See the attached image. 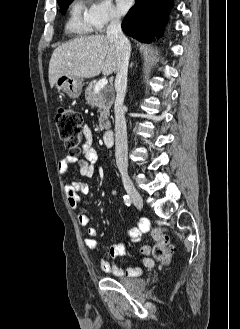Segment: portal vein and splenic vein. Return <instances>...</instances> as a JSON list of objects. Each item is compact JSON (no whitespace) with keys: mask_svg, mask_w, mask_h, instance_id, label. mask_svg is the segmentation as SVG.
Listing matches in <instances>:
<instances>
[{"mask_svg":"<svg viewBox=\"0 0 240 329\" xmlns=\"http://www.w3.org/2000/svg\"><path fill=\"white\" fill-rule=\"evenodd\" d=\"M107 84H108V80L106 78L99 80L95 84V88H94L95 93H98L99 91H101Z\"/></svg>","mask_w":240,"mask_h":329,"instance_id":"18ae733b","label":"portal vein and splenic vein"}]
</instances>
